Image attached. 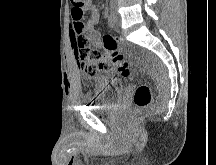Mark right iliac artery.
Listing matches in <instances>:
<instances>
[{
    "mask_svg": "<svg viewBox=\"0 0 216 165\" xmlns=\"http://www.w3.org/2000/svg\"><path fill=\"white\" fill-rule=\"evenodd\" d=\"M108 24H109V26H110L111 28L114 27V25H115V19H114V17H113V14H110V15H109V17H108Z\"/></svg>",
    "mask_w": 216,
    "mask_h": 165,
    "instance_id": "right-iliac-artery-1",
    "label": "right iliac artery"
}]
</instances>
